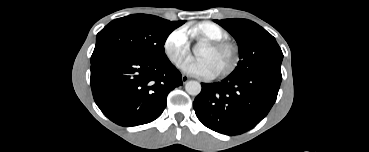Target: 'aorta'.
Returning <instances> with one entry per match:
<instances>
[{"mask_svg":"<svg viewBox=\"0 0 369 152\" xmlns=\"http://www.w3.org/2000/svg\"><path fill=\"white\" fill-rule=\"evenodd\" d=\"M185 90L189 95L197 96L201 92V84L197 81H188Z\"/></svg>","mask_w":369,"mask_h":152,"instance_id":"aorta-1","label":"aorta"}]
</instances>
